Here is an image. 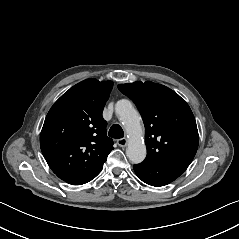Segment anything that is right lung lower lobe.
Wrapping results in <instances>:
<instances>
[{
    "instance_id": "right-lung-lower-lobe-1",
    "label": "right lung lower lobe",
    "mask_w": 239,
    "mask_h": 239,
    "mask_svg": "<svg viewBox=\"0 0 239 239\" xmlns=\"http://www.w3.org/2000/svg\"><path fill=\"white\" fill-rule=\"evenodd\" d=\"M101 169L91 175L86 176H77V175H57V176L69 184L82 185L94 179L100 173Z\"/></svg>"
}]
</instances>
